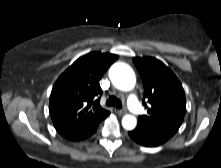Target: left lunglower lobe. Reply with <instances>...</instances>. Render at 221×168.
<instances>
[{
	"mask_svg": "<svg viewBox=\"0 0 221 168\" xmlns=\"http://www.w3.org/2000/svg\"><path fill=\"white\" fill-rule=\"evenodd\" d=\"M129 136L138 144L146 147L158 146L166 142L170 137L162 132L137 125V127L128 132Z\"/></svg>",
	"mask_w": 221,
	"mask_h": 168,
	"instance_id": "1",
	"label": "left lung lower lobe"
}]
</instances>
